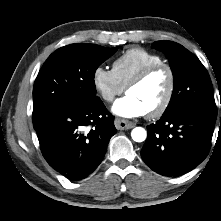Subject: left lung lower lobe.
<instances>
[{"instance_id":"0a47b994","label":"left lung lower lobe","mask_w":221,"mask_h":221,"mask_svg":"<svg viewBox=\"0 0 221 221\" xmlns=\"http://www.w3.org/2000/svg\"><path fill=\"white\" fill-rule=\"evenodd\" d=\"M216 117L194 108L163 115L147 127L143 161L163 176L185 174L208 155Z\"/></svg>"}]
</instances>
